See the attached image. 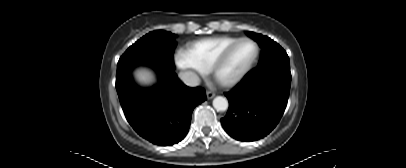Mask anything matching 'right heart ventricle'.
<instances>
[{
    "label": "right heart ventricle",
    "instance_id": "e07e8e85",
    "mask_svg": "<svg viewBox=\"0 0 406 168\" xmlns=\"http://www.w3.org/2000/svg\"><path fill=\"white\" fill-rule=\"evenodd\" d=\"M236 39L230 36L199 39L187 44L185 53L195 66L204 72H208L218 55Z\"/></svg>",
    "mask_w": 406,
    "mask_h": 168
}]
</instances>
